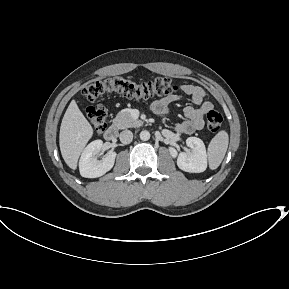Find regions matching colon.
Returning <instances> with one entry per match:
<instances>
[{
	"instance_id": "colon-1",
	"label": "colon",
	"mask_w": 289,
	"mask_h": 289,
	"mask_svg": "<svg viewBox=\"0 0 289 289\" xmlns=\"http://www.w3.org/2000/svg\"><path fill=\"white\" fill-rule=\"evenodd\" d=\"M177 89L178 87L167 77L140 82L128 77L115 76L87 83L82 89V94L90 101L111 93L121 94L135 100H149L170 95ZM86 112L96 133H102L107 126L106 109L101 105H96L88 107ZM222 122L223 117L219 112L211 110L207 113V127L210 131H218Z\"/></svg>"
}]
</instances>
